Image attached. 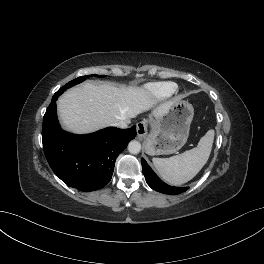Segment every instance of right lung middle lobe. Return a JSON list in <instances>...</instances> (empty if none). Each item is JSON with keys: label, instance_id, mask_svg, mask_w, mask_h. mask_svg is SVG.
<instances>
[{"label": "right lung middle lobe", "instance_id": "obj_1", "mask_svg": "<svg viewBox=\"0 0 264 264\" xmlns=\"http://www.w3.org/2000/svg\"><path fill=\"white\" fill-rule=\"evenodd\" d=\"M96 76H98V77H105L104 75H96ZM86 77H89V75H87V76H82V77H78V78H76V79L70 81L69 83H67L66 85H64L63 87H61V88L56 92V94L61 95L66 89H68V88H70V87H72V86H74V85H76V84H79V83H81L82 81H84Z\"/></svg>", "mask_w": 264, "mask_h": 264}]
</instances>
